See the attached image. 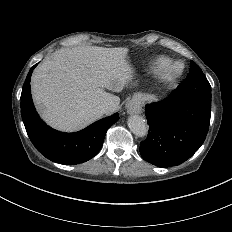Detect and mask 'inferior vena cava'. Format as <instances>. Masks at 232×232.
I'll use <instances>...</instances> for the list:
<instances>
[{
	"label": "inferior vena cava",
	"mask_w": 232,
	"mask_h": 232,
	"mask_svg": "<svg viewBox=\"0 0 232 232\" xmlns=\"http://www.w3.org/2000/svg\"><path fill=\"white\" fill-rule=\"evenodd\" d=\"M100 111L102 112V114H107L109 112H112L113 106L110 105V103H105L104 105L100 106Z\"/></svg>",
	"instance_id": "inferior-vena-cava-1"
}]
</instances>
